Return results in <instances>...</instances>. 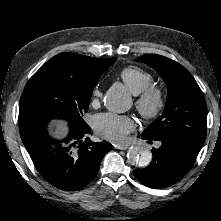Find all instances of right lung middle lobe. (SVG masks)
Masks as SVG:
<instances>
[{"label": "right lung middle lobe", "instance_id": "dd1d6c3e", "mask_svg": "<svg viewBox=\"0 0 221 221\" xmlns=\"http://www.w3.org/2000/svg\"><path fill=\"white\" fill-rule=\"evenodd\" d=\"M116 58L104 59L95 80H75L63 77L51 69L40 68L28 81L20 99L19 127L32 122H48L62 118L80 127L86 123L82 116L96 81Z\"/></svg>", "mask_w": 221, "mask_h": 221}]
</instances>
